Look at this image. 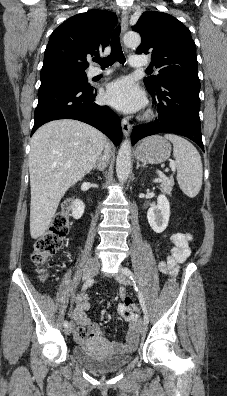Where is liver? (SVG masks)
<instances>
[{"instance_id": "liver-1", "label": "liver", "mask_w": 227, "mask_h": 396, "mask_svg": "<svg viewBox=\"0 0 227 396\" xmlns=\"http://www.w3.org/2000/svg\"><path fill=\"white\" fill-rule=\"evenodd\" d=\"M104 148H111L104 134L77 120L51 121L34 133L29 155L33 239L46 232L61 198L92 170Z\"/></svg>"}]
</instances>
